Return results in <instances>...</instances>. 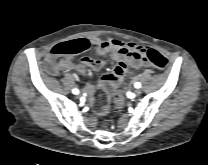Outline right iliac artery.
<instances>
[{"mask_svg":"<svg viewBox=\"0 0 208 165\" xmlns=\"http://www.w3.org/2000/svg\"><path fill=\"white\" fill-rule=\"evenodd\" d=\"M72 92H73V94H78L79 90L78 89H73Z\"/></svg>","mask_w":208,"mask_h":165,"instance_id":"1","label":"right iliac artery"}]
</instances>
